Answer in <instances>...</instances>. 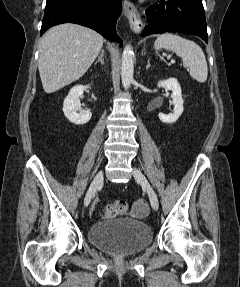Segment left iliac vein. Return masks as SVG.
<instances>
[{"instance_id": "1", "label": "left iliac vein", "mask_w": 240, "mask_h": 287, "mask_svg": "<svg viewBox=\"0 0 240 287\" xmlns=\"http://www.w3.org/2000/svg\"><path fill=\"white\" fill-rule=\"evenodd\" d=\"M133 176L143 186V188L147 192L151 206L153 207V209L157 210L159 207L157 195H156L155 191L153 190V188L151 187L148 180L146 179V177L144 176V174L139 169L134 168L133 169Z\"/></svg>"}]
</instances>
